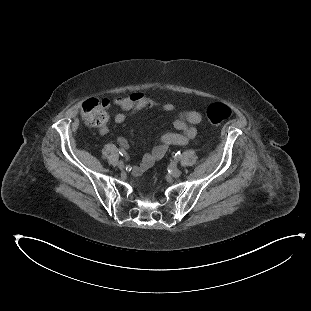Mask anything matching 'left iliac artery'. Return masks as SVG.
<instances>
[{
	"mask_svg": "<svg viewBox=\"0 0 311 311\" xmlns=\"http://www.w3.org/2000/svg\"><path fill=\"white\" fill-rule=\"evenodd\" d=\"M180 156H181V153H180V151H178V152L175 154V157H174V159H175L176 162H177V160H179Z\"/></svg>",
	"mask_w": 311,
	"mask_h": 311,
	"instance_id": "44dca946",
	"label": "left iliac artery"
}]
</instances>
